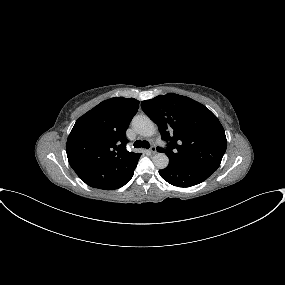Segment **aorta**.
<instances>
[{"mask_svg":"<svg viewBox=\"0 0 285 285\" xmlns=\"http://www.w3.org/2000/svg\"><path fill=\"white\" fill-rule=\"evenodd\" d=\"M135 131L144 137H152L156 133L153 121L146 115H137L132 120ZM153 164L158 169H165L169 164V158L165 153H157L152 157Z\"/></svg>","mask_w":285,"mask_h":285,"instance_id":"aorta-1","label":"aorta"}]
</instances>
